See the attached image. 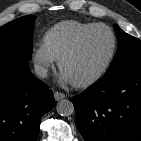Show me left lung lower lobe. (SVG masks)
I'll use <instances>...</instances> for the list:
<instances>
[{"instance_id": "0a47b994", "label": "left lung lower lobe", "mask_w": 141, "mask_h": 141, "mask_svg": "<svg viewBox=\"0 0 141 141\" xmlns=\"http://www.w3.org/2000/svg\"><path fill=\"white\" fill-rule=\"evenodd\" d=\"M72 102L85 141H140L141 65L103 76Z\"/></svg>"}]
</instances>
